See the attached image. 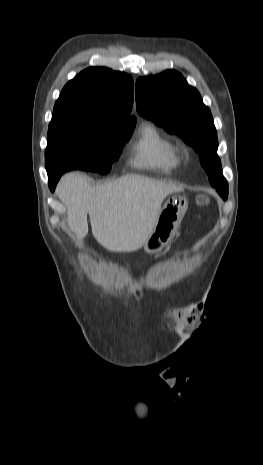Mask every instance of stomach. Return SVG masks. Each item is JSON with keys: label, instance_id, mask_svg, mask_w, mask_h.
<instances>
[{"label": "stomach", "instance_id": "obj_1", "mask_svg": "<svg viewBox=\"0 0 263 465\" xmlns=\"http://www.w3.org/2000/svg\"><path fill=\"white\" fill-rule=\"evenodd\" d=\"M187 208L188 202L185 197L180 195L168 197L144 243L146 253L155 254L172 240Z\"/></svg>", "mask_w": 263, "mask_h": 465}]
</instances>
